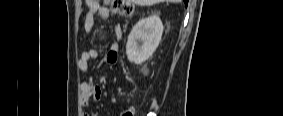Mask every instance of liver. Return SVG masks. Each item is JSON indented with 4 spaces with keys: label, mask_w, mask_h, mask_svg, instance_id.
<instances>
[{
    "label": "liver",
    "mask_w": 283,
    "mask_h": 116,
    "mask_svg": "<svg viewBox=\"0 0 283 116\" xmlns=\"http://www.w3.org/2000/svg\"><path fill=\"white\" fill-rule=\"evenodd\" d=\"M164 0H135V2L139 5H153L159 2H163ZM169 2H179V0H168Z\"/></svg>",
    "instance_id": "liver-1"
}]
</instances>
